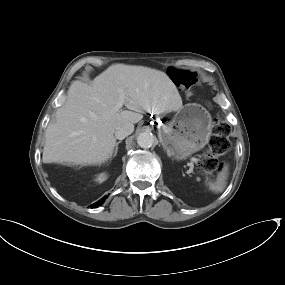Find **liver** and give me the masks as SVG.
Returning <instances> with one entry per match:
<instances>
[{"mask_svg":"<svg viewBox=\"0 0 285 285\" xmlns=\"http://www.w3.org/2000/svg\"><path fill=\"white\" fill-rule=\"evenodd\" d=\"M125 107L116 110L120 95ZM182 108L176 86L162 71L144 66L115 64L91 85L74 81L66 102L48 125L44 163L101 165L114 152L116 129L139 122L144 111L172 112Z\"/></svg>","mask_w":285,"mask_h":285,"instance_id":"1","label":"liver"}]
</instances>
